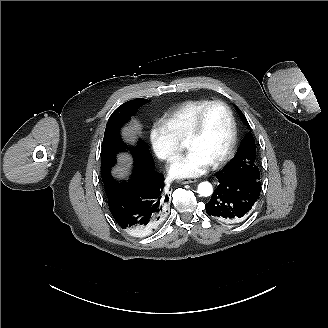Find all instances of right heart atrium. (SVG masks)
Instances as JSON below:
<instances>
[{
  "instance_id": "d8ad5b80",
  "label": "right heart atrium",
  "mask_w": 328,
  "mask_h": 328,
  "mask_svg": "<svg viewBox=\"0 0 328 328\" xmlns=\"http://www.w3.org/2000/svg\"><path fill=\"white\" fill-rule=\"evenodd\" d=\"M148 138L152 151L162 161H171L181 150L179 142L160 121H155L150 125Z\"/></svg>"
}]
</instances>
